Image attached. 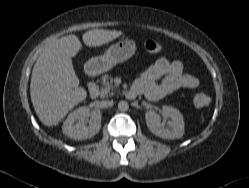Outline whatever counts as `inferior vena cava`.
Listing matches in <instances>:
<instances>
[{"label": "inferior vena cava", "instance_id": "602c4592", "mask_svg": "<svg viewBox=\"0 0 249 188\" xmlns=\"http://www.w3.org/2000/svg\"><path fill=\"white\" fill-rule=\"evenodd\" d=\"M102 104L105 106V107H111L113 106V101L112 100H106V101H103Z\"/></svg>", "mask_w": 249, "mask_h": 188}]
</instances>
